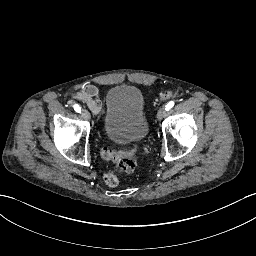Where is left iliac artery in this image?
Masks as SVG:
<instances>
[{
    "label": "left iliac artery",
    "instance_id": "44dca946",
    "mask_svg": "<svg viewBox=\"0 0 256 256\" xmlns=\"http://www.w3.org/2000/svg\"><path fill=\"white\" fill-rule=\"evenodd\" d=\"M174 106V101H170L169 103H167V105L165 106L166 110H170L172 107Z\"/></svg>",
    "mask_w": 256,
    "mask_h": 256
}]
</instances>
